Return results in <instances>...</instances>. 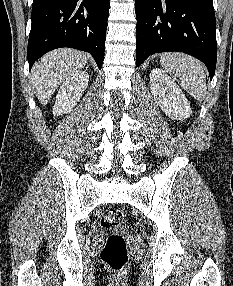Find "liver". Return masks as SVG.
Segmentation results:
<instances>
[{
  "mask_svg": "<svg viewBox=\"0 0 233 286\" xmlns=\"http://www.w3.org/2000/svg\"><path fill=\"white\" fill-rule=\"evenodd\" d=\"M88 54L64 48L51 51L35 63L31 84L42 105H46L52 94L72 73L82 69L87 63Z\"/></svg>",
  "mask_w": 233,
  "mask_h": 286,
  "instance_id": "liver-1",
  "label": "liver"
}]
</instances>
